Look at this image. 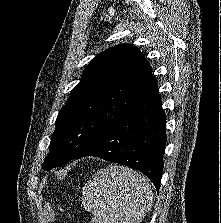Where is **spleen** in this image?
I'll use <instances>...</instances> for the list:
<instances>
[{
  "label": "spleen",
  "instance_id": "spleen-1",
  "mask_svg": "<svg viewBox=\"0 0 221 223\" xmlns=\"http://www.w3.org/2000/svg\"><path fill=\"white\" fill-rule=\"evenodd\" d=\"M148 179L123 166L98 170L82 191V204L93 214L90 223H141L152 208Z\"/></svg>",
  "mask_w": 221,
  "mask_h": 223
}]
</instances>
